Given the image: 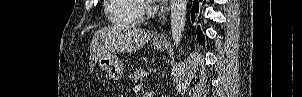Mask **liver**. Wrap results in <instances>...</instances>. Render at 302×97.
Instances as JSON below:
<instances>
[{"instance_id": "6515ba94", "label": "liver", "mask_w": 302, "mask_h": 97, "mask_svg": "<svg viewBox=\"0 0 302 97\" xmlns=\"http://www.w3.org/2000/svg\"><path fill=\"white\" fill-rule=\"evenodd\" d=\"M151 38V32L136 26L114 25L95 32L90 50V68L97 59L115 51L133 53L142 48Z\"/></svg>"}]
</instances>
